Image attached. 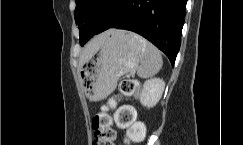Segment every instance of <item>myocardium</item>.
I'll use <instances>...</instances> for the list:
<instances>
[{"mask_svg":"<svg viewBox=\"0 0 243 145\" xmlns=\"http://www.w3.org/2000/svg\"><path fill=\"white\" fill-rule=\"evenodd\" d=\"M100 8L99 3H94L91 7L92 12H96Z\"/></svg>","mask_w":243,"mask_h":145,"instance_id":"obj_1","label":"myocardium"}]
</instances>
